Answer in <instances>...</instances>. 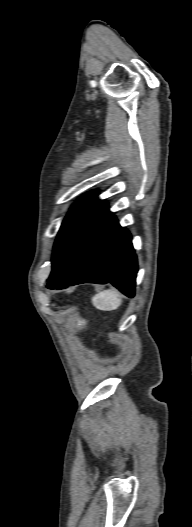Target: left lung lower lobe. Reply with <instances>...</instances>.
<instances>
[{"label": "left lung lower lobe", "mask_w": 192, "mask_h": 527, "mask_svg": "<svg viewBox=\"0 0 192 527\" xmlns=\"http://www.w3.org/2000/svg\"><path fill=\"white\" fill-rule=\"evenodd\" d=\"M136 274L131 235L118 224L106 203H101L52 265L47 288L110 282L133 297Z\"/></svg>", "instance_id": "0a47b994"}]
</instances>
